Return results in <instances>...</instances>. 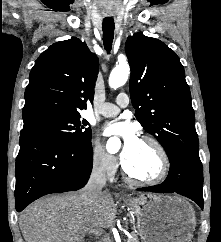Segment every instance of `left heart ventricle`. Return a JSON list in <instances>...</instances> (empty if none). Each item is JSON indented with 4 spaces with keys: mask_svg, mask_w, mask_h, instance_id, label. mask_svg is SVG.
Returning <instances> with one entry per match:
<instances>
[{
    "mask_svg": "<svg viewBox=\"0 0 221 242\" xmlns=\"http://www.w3.org/2000/svg\"><path fill=\"white\" fill-rule=\"evenodd\" d=\"M124 162L129 172L140 178H153L160 169V161L154 147L141 140Z\"/></svg>",
    "mask_w": 221,
    "mask_h": 242,
    "instance_id": "b2bd125f",
    "label": "left heart ventricle"
}]
</instances>
